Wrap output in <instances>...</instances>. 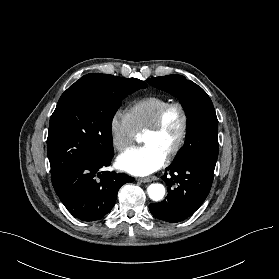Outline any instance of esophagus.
Returning a JSON list of instances; mask_svg holds the SVG:
<instances>
[{
	"label": "esophagus",
	"mask_w": 279,
	"mask_h": 279,
	"mask_svg": "<svg viewBox=\"0 0 279 279\" xmlns=\"http://www.w3.org/2000/svg\"><path fill=\"white\" fill-rule=\"evenodd\" d=\"M136 180L138 182L146 183V182H150V181L156 180V177L151 176V177H145V178H137Z\"/></svg>",
	"instance_id": "34e87169"
}]
</instances>
